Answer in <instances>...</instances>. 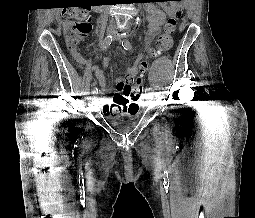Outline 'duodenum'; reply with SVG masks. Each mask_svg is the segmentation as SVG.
Listing matches in <instances>:
<instances>
[{"label":"duodenum","instance_id":"duodenum-1","mask_svg":"<svg viewBox=\"0 0 255 218\" xmlns=\"http://www.w3.org/2000/svg\"><path fill=\"white\" fill-rule=\"evenodd\" d=\"M96 10H97L98 12H100V8L97 7ZM82 64L85 65V66H91V64H89V63H88L87 61H85V60L82 61Z\"/></svg>","mask_w":255,"mask_h":218}]
</instances>
